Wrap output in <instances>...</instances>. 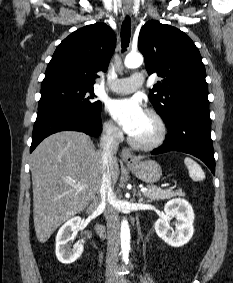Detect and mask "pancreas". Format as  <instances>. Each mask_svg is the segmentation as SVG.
<instances>
[{"instance_id":"pancreas-1","label":"pancreas","mask_w":233,"mask_h":283,"mask_svg":"<svg viewBox=\"0 0 233 283\" xmlns=\"http://www.w3.org/2000/svg\"><path fill=\"white\" fill-rule=\"evenodd\" d=\"M145 197H147L150 201L153 200H166L171 199L176 196H185V193L178 189L176 191L167 190L163 191L156 186H148V191L144 193Z\"/></svg>"}]
</instances>
